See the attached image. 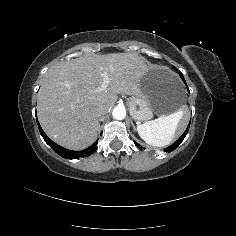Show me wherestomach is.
Instances as JSON below:
<instances>
[{"mask_svg":"<svg viewBox=\"0 0 236 236\" xmlns=\"http://www.w3.org/2000/svg\"><path fill=\"white\" fill-rule=\"evenodd\" d=\"M186 94L180 80L162 68L148 70L136 95L128 100L129 113L137 122H147L156 114L169 116L182 109Z\"/></svg>","mask_w":236,"mask_h":236,"instance_id":"0dacf381","label":"stomach"}]
</instances>
